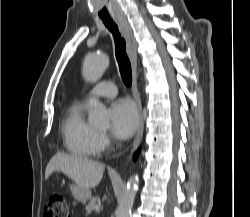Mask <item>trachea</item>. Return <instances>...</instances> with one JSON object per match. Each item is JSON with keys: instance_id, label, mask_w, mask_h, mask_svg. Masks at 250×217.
<instances>
[{"instance_id": "1", "label": "trachea", "mask_w": 250, "mask_h": 217, "mask_svg": "<svg viewBox=\"0 0 250 217\" xmlns=\"http://www.w3.org/2000/svg\"><path fill=\"white\" fill-rule=\"evenodd\" d=\"M103 23L113 35L116 59L122 80L127 87H130L132 84V70L130 60L126 54L125 40L121 37L118 26L112 19H103Z\"/></svg>"}]
</instances>
